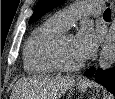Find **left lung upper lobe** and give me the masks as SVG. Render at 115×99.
<instances>
[{
  "instance_id": "left-lung-upper-lobe-1",
  "label": "left lung upper lobe",
  "mask_w": 115,
  "mask_h": 99,
  "mask_svg": "<svg viewBox=\"0 0 115 99\" xmlns=\"http://www.w3.org/2000/svg\"><path fill=\"white\" fill-rule=\"evenodd\" d=\"M65 0H39L33 15L31 16L29 23L37 21L44 14L49 12L51 9L59 6Z\"/></svg>"
}]
</instances>
